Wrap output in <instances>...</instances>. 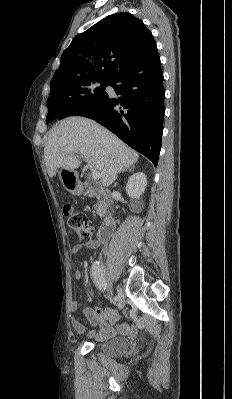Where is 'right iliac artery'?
<instances>
[{
  "label": "right iliac artery",
  "instance_id": "obj_1",
  "mask_svg": "<svg viewBox=\"0 0 232 399\" xmlns=\"http://www.w3.org/2000/svg\"><path fill=\"white\" fill-rule=\"evenodd\" d=\"M90 275H91V278H92L95 286L100 291H105L107 284L105 282L103 268H102L100 261H94L92 263L91 268H90ZM115 300H119L118 294L115 295Z\"/></svg>",
  "mask_w": 232,
  "mask_h": 399
}]
</instances>
